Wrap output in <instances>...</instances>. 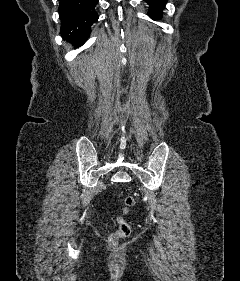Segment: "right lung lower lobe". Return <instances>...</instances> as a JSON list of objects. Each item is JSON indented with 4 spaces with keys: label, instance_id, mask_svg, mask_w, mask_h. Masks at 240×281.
I'll use <instances>...</instances> for the list:
<instances>
[{
    "label": "right lung lower lobe",
    "instance_id": "obj_1",
    "mask_svg": "<svg viewBox=\"0 0 240 281\" xmlns=\"http://www.w3.org/2000/svg\"><path fill=\"white\" fill-rule=\"evenodd\" d=\"M98 1L60 0L61 31L64 39L78 47L87 40L92 24L99 18L95 11Z\"/></svg>",
    "mask_w": 240,
    "mask_h": 281
}]
</instances>
